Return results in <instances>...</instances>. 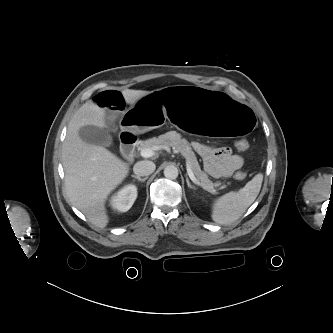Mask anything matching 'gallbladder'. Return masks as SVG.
I'll list each match as a JSON object with an SVG mask.
<instances>
[{
  "instance_id": "obj_1",
  "label": "gallbladder",
  "mask_w": 333,
  "mask_h": 333,
  "mask_svg": "<svg viewBox=\"0 0 333 333\" xmlns=\"http://www.w3.org/2000/svg\"><path fill=\"white\" fill-rule=\"evenodd\" d=\"M81 139L89 144L109 147L112 145V137L109 132L97 126H84L79 130Z\"/></svg>"
}]
</instances>
